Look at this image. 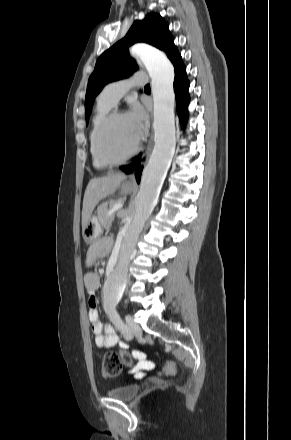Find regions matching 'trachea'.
Returning <instances> with one entry per match:
<instances>
[{"label": "trachea", "instance_id": "trachea-1", "mask_svg": "<svg viewBox=\"0 0 291 440\" xmlns=\"http://www.w3.org/2000/svg\"><path fill=\"white\" fill-rule=\"evenodd\" d=\"M145 88H149V89H150V85H149V84H147V85L145 86Z\"/></svg>", "mask_w": 291, "mask_h": 440}]
</instances>
